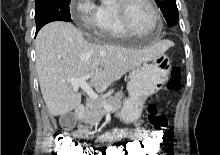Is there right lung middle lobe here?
<instances>
[{
	"label": "right lung middle lobe",
	"mask_w": 220,
	"mask_h": 155,
	"mask_svg": "<svg viewBox=\"0 0 220 155\" xmlns=\"http://www.w3.org/2000/svg\"><path fill=\"white\" fill-rule=\"evenodd\" d=\"M70 0H35L36 29L51 21H70Z\"/></svg>",
	"instance_id": "dd1d6c3e"
}]
</instances>
